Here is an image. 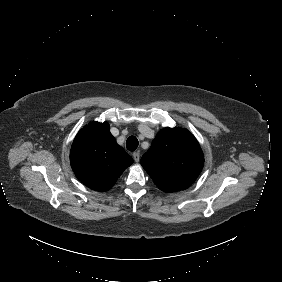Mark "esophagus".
Returning a JSON list of instances; mask_svg holds the SVG:
<instances>
[{
    "instance_id": "obj_1",
    "label": "esophagus",
    "mask_w": 282,
    "mask_h": 282,
    "mask_svg": "<svg viewBox=\"0 0 282 282\" xmlns=\"http://www.w3.org/2000/svg\"><path fill=\"white\" fill-rule=\"evenodd\" d=\"M133 158H134V161L137 163L139 162V159H140V155L138 152H134L133 153Z\"/></svg>"
}]
</instances>
